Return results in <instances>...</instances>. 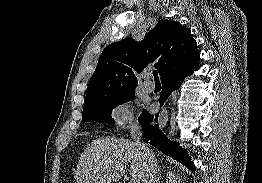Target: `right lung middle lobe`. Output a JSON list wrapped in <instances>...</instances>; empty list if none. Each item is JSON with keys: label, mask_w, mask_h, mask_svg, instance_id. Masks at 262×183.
Returning a JSON list of instances; mask_svg holds the SVG:
<instances>
[{"label": "right lung middle lobe", "mask_w": 262, "mask_h": 183, "mask_svg": "<svg viewBox=\"0 0 262 183\" xmlns=\"http://www.w3.org/2000/svg\"><path fill=\"white\" fill-rule=\"evenodd\" d=\"M135 99L134 90H130L118 95L105 97L99 100L91 101L84 104L82 120L98 121L100 123H114L111 118L112 109L127 101Z\"/></svg>", "instance_id": "right-lung-middle-lobe-1"}]
</instances>
